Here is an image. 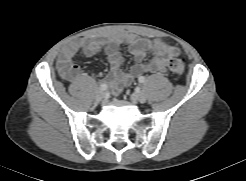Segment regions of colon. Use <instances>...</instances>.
Here are the masks:
<instances>
[{
	"label": "colon",
	"instance_id": "obj_1",
	"mask_svg": "<svg viewBox=\"0 0 246 181\" xmlns=\"http://www.w3.org/2000/svg\"><path fill=\"white\" fill-rule=\"evenodd\" d=\"M186 61L182 57H172L169 61V69L175 75H181L185 70Z\"/></svg>",
	"mask_w": 246,
	"mask_h": 181
}]
</instances>
